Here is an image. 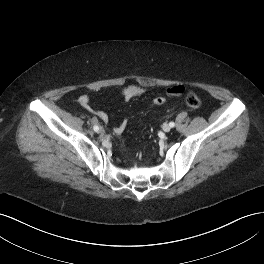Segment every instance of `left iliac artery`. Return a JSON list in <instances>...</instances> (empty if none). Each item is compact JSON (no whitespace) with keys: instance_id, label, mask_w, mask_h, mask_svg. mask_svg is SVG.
I'll return each mask as SVG.
<instances>
[{"instance_id":"44dca946","label":"left iliac artery","mask_w":264,"mask_h":264,"mask_svg":"<svg viewBox=\"0 0 264 264\" xmlns=\"http://www.w3.org/2000/svg\"><path fill=\"white\" fill-rule=\"evenodd\" d=\"M169 125H170L171 127H174V126H175V123H174V122H170Z\"/></svg>"}]
</instances>
